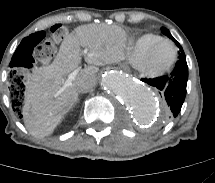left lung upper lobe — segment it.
<instances>
[{
    "instance_id": "left-lung-upper-lobe-1",
    "label": "left lung upper lobe",
    "mask_w": 215,
    "mask_h": 183,
    "mask_svg": "<svg viewBox=\"0 0 215 183\" xmlns=\"http://www.w3.org/2000/svg\"><path fill=\"white\" fill-rule=\"evenodd\" d=\"M162 32L164 35L168 36L170 39H172L175 44L177 45V47L180 49V52H179V58H183L185 57V54H184V51L182 49V47L180 46V44L172 37V35L170 34L169 30L166 29V28H161Z\"/></svg>"
}]
</instances>
